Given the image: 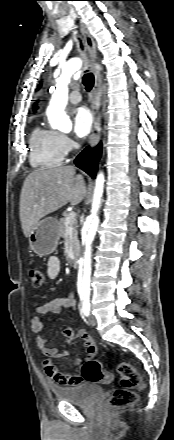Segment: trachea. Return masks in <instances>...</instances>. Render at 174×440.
<instances>
[{"label":"trachea","instance_id":"obj_1","mask_svg":"<svg viewBox=\"0 0 174 440\" xmlns=\"http://www.w3.org/2000/svg\"><path fill=\"white\" fill-rule=\"evenodd\" d=\"M83 84L87 91H90L94 85V76L92 73H85L83 76Z\"/></svg>","mask_w":174,"mask_h":440}]
</instances>
